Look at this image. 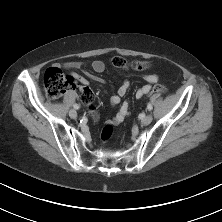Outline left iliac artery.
<instances>
[{"label": "left iliac artery", "instance_id": "left-iliac-artery-1", "mask_svg": "<svg viewBox=\"0 0 222 222\" xmlns=\"http://www.w3.org/2000/svg\"><path fill=\"white\" fill-rule=\"evenodd\" d=\"M147 109H148L149 111L152 110V105H151L150 103H148V105H147Z\"/></svg>", "mask_w": 222, "mask_h": 222}]
</instances>
